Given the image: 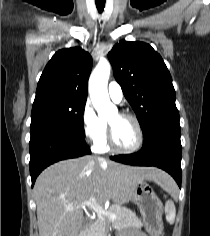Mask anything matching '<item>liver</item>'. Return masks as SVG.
I'll list each match as a JSON object with an SVG mask.
<instances>
[{"label":"liver","instance_id":"1","mask_svg":"<svg viewBox=\"0 0 210 236\" xmlns=\"http://www.w3.org/2000/svg\"><path fill=\"white\" fill-rule=\"evenodd\" d=\"M153 181L163 186L171 177L154 167H131L91 156L57 162L46 168L34 186L39 236H79L83 208L111 199L127 203L137 182Z\"/></svg>","mask_w":210,"mask_h":236}]
</instances>
